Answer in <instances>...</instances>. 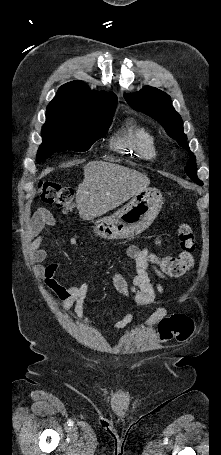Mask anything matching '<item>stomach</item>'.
<instances>
[{
    "instance_id": "stomach-1",
    "label": "stomach",
    "mask_w": 221,
    "mask_h": 455,
    "mask_svg": "<svg viewBox=\"0 0 221 455\" xmlns=\"http://www.w3.org/2000/svg\"><path fill=\"white\" fill-rule=\"evenodd\" d=\"M164 199L160 190L146 188L123 208L93 222L96 236L107 240L131 238L146 230L159 214Z\"/></svg>"
}]
</instances>
